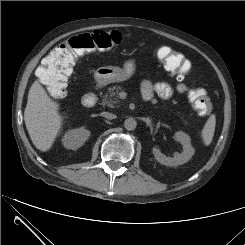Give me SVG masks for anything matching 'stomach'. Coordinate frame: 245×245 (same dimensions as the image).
Instances as JSON below:
<instances>
[{
	"label": "stomach",
	"instance_id": "0dacf381",
	"mask_svg": "<svg viewBox=\"0 0 245 245\" xmlns=\"http://www.w3.org/2000/svg\"><path fill=\"white\" fill-rule=\"evenodd\" d=\"M136 64L134 59H130L124 63L123 68L114 66L99 67L95 73V80L102 85L113 82H122L128 80L135 73Z\"/></svg>",
	"mask_w": 245,
	"mask_h": 245
}]
</instances>
